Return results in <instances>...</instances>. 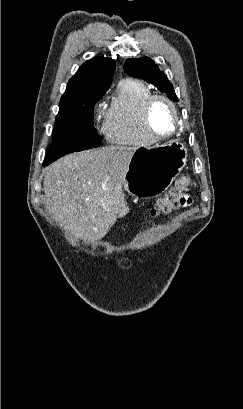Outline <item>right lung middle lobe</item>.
<instances>
[{
    "label": "right lung middle lobe",
    "instance_id": "right-lung-middle-lobe-1",
    "mask_svg": "<svg viewBox=\"0 0 243 409\" xmlns=\"http://www.w3.org/2000/svg\"><path fill=\"white\" fill-rule=\"evenodd\" d=\"M96 103L97 101L85 106L59 105L52 143L46 155L68 154L101 145V138L93 125V110Z\"/></svg>",
    "mask_w": 243,
    "mask_h": 409
}]
</instances>
